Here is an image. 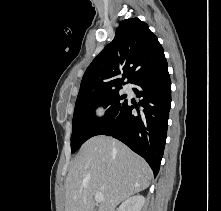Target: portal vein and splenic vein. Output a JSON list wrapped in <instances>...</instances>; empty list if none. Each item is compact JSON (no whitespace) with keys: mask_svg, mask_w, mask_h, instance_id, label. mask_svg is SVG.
Returning a JSON list of instances; mask_svg holds the SVG:
<instances>
[{"mask_svg":"<svg viewBox=\"0 0 221 211\" xmlns=\"http://www.w3.org/2000/svg\"><path fill=\"white\" fill-rule=\"evenodd\" d=\"M95 200L97 203H102L104 201V196L102 193L95 194Z\"/></svg>","mask_w":221,"mask_h":211,"instance_id":"1","label":"portal vein and splenic vein"}]
</instances>
